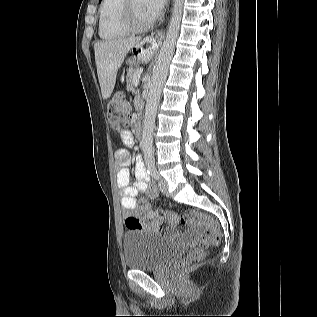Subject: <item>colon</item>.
Masks as SVG:
<instances>
[{"instance_id": "obj_1", "label": "colon", "mask_w": 317, "mask_h": 317, "mask_svg": "<svg viewBox=\"0 0 317 317\" xmlns=\"http://www.w3.org/2000/svg\"><path fill=\"white\" fill-rule=\"evenodd\" d=\"M130 116V105L126 96L122 92L115 93L107 105V117L109 124L119 132L127 123ZM157 225L154 228H160V221L168 224L178 222L186 223L188 221H203L207 226V231L201 236L199 243L184 257L179 263L178 268L184 269L192 263L200 261L210 246H215L220 242L221 232L215 221L203 213H195L193 217L187 215L178 216L172 212H160L156 215ZM128 229H144L148 226L144 219L136 216H129L125 220Z\"/></svg>"}]
</instances>
